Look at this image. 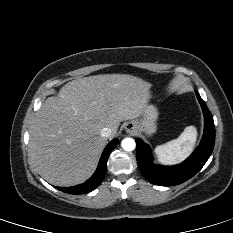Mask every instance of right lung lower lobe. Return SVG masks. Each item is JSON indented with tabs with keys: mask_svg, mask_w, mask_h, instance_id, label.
<instances>
[{
	"mask_svg": "<svg viewBox=\"0 0 233 233\" xmlns=\"http://www.w3.org/2000/svg\"><path fill=\"white\" fill-rule=\"evenodd\" d=\"M117 144H118V139H114L112 142H110L107 145L101 156L96 172L85 183L73 187H56V188L62 192L69 194H76V195L88 193L96 189L101 184L105 176L108 157L112 152V150L117 146Z\"/></svg>",
	"mask_w": 233,
	"mask_h": 233,
	"instance_id": "1",
	"label": "right lung lower lobe"
}]
</instances>
